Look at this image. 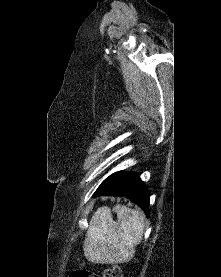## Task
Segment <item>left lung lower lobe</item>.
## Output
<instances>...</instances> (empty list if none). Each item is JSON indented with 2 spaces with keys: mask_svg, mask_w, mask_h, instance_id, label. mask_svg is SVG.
<instances>
[{
  "mask_svg": "<svg viewBox=\"0 0 221 277\" xmlns=\"http://www.w3.org/2000/svg\"><path fill=\"white\" fill-rule=\"evenodd\" d=\"M99 195L126 197L140 206L145 214L149 216V192L139 178L138 173H123L120 171L116 175L107 178L94 193V197Z\"/></svg>",
  "mask_w": 221,
  "mask_h": 277,
  "instance_id": "0a47b994",
  "label": "left lung lower lobe"
}]
</instances>
